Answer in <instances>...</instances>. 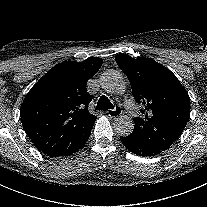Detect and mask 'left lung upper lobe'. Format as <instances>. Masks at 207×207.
Instances as JSON below:
<instances>
[{
	"label": "left lung upper lobe",
	"instance_id": "left-lung-upper-lobe-1",
	"mask_svg": "<svg viewBox=\"0 0 207 207\" xmlns=\"http://www.w3.org/2000/svg\"><path fill=\"white\" fill-rule=\"evenodd\" d=\"M128 77L133 96L143 105L142 118H135L132 137L142 138L162 151L180 136L190 116V97L177 77L150 58L115 57Z\"/></svg>",
	"mask_w": 207,
	"mask_h": 207
}]
</instances>
